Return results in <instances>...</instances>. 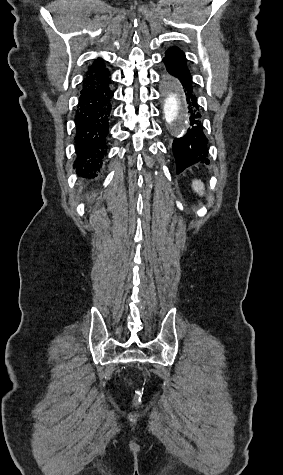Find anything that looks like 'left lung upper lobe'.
Masks as SVG:
<instances>
[{
    "label": "left lung upper lobe",
    "instance_id": "left-lung-upper-lobe-1",
    "mask_svg": "<svg viewBox=\"0 0 283 475\" xmlns=\"http://www.w3.org/2000/svg\"><path fill=\"white\" fill-rule=\"evenodd\" d=\"M169 51H171L172 54H175L177 56L185 57V54L180 49H178L176 47L170 48Z\"/></svg>",
    "mask_w": 283,
    "mask_h": 475
}]
</instances>
